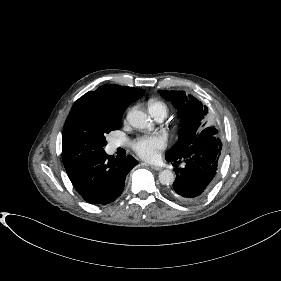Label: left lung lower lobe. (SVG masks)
Listing matches in <instances>:
<instances>
[{
	"label": "left lung lower lobe",
	"instance_id": "obj_1",
	"mask_svg": "<svg viewBox=\"0 0 281 281\" xmlns=\"http://www.w3.org/2000/svg\"><path fill=\"white\" fill-rule=\"evenodd\" d=\"M222 143L218 137H210L191 145L181 159L170 160L185 162V167L174 169L176 179L172 194L183 202H195L211 189L221 155Z\"/></svg>",
	"mask_w": 281,
	"mask_h": 281
}]
</instances>
